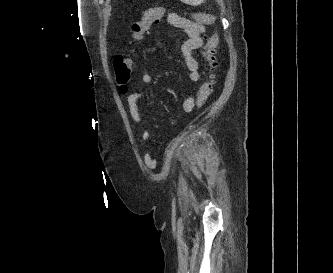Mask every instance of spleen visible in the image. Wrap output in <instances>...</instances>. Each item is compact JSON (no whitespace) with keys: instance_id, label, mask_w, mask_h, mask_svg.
I'll list each match as a JSON object with an SVG mask.
<instances>
[{"instance_id":"spleen-1","label":"spleen","mask_w":333,"mask_h":273,"mask_svg":"<svg viewBox=\"0 0 333 273\" xmlns=\"http://www.w3.org/2000/svg\"><path fill=\"white\" fill-rule=\"evenodd\" d=\"M182 2L189 4V5H199L203 3L205 0H181Z\"/></svg>"}]
</instances>
